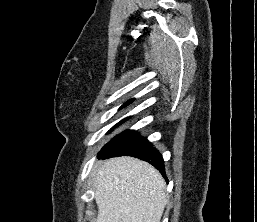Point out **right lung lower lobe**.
<instances>
[{
    "mask_svg": "<svg viewBox=\"0 0 257 222\" xmlns=\"http://www.w3.org/2000/svg\"><path fill=\"white\" fill-rule=\"evenodd\" d=\"M116 156H133L149 162L166 178L162 155L146 138L138 136L135 131H130L118 140L105 145L98 153V157L102 159Z\"/></svg>",
    "mask_w": 257,
    "mask_h": 222,
    "instance_id": "1",
    "label": "right lung lower lobe"
}]
</instances>
